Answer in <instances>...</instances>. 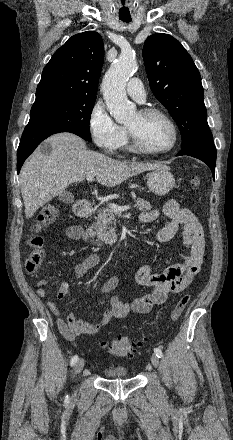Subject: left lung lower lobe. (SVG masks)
Instances as JSON below:
<instances>
[{"label": "left lung lower lobe", "mask_w": 233, "mask_h": 440, "mask_svg": "<svg viewBox=\"0 0 233 440\" xmlns=\"http://www.w3.org/2000/svg\"><path fill=\"white\" fill-rule=\"evenodd\" d=\"M181 155L192 156L205 162L211 169L214 176L216 164V148L213 143V138H208L182 148L177 156Z\"/></svg>", "instance_id": "left-lung-lower-lobe-1"}]
</instances>
